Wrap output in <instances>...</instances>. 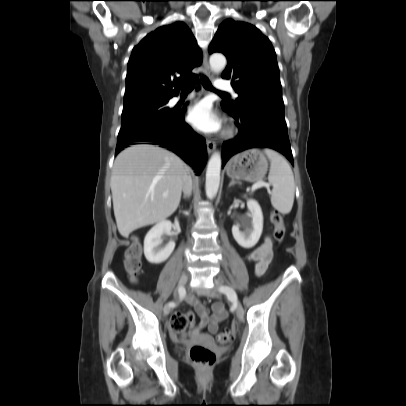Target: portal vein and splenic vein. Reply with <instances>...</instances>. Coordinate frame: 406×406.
<instances>
[{"label":"portal vein and splenic vein","mask_w":406,"mask_h":406,"mask_svg":"<svg viewBox=\"0 0 406 406\" xmlns=\"http://www.w3.org/2000/svg\"><path fill=\"white\" fill-rule=\"evenodd\" d=\"M261 187L269 188V187H270V184H269V183H265V182H256V183H254V184L252 185L251 191L253 192V191H255L256 189L261 188ZM167 195H168L167 193H164V194H163L164 197H166Z\"/></svg>","instance_id":"obj_1"}]
</instances>
